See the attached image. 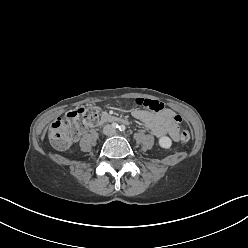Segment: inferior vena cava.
Masks as SVG:
<instances>
[{
  "label": "inferior vena cava",
  "mask_w": 248,
  "mask_h": 248,
  "mask_svg": "<svg viewBox=\"0 0 248 248\" xmlns=\"http://www.w3.org/2000/svg\"><path fill=\"white\" fill-rule=\"evenodd\" d=\"M104 133L108 136H113L116 133L115 127L112 125H106L104 127Z\"/></svg>",
  "instance_id": "obj_1"
}]
</instances>
